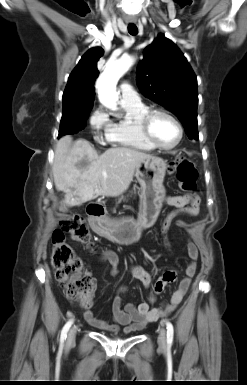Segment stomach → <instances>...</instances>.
<instances>
[{"label":"stomach","instance_id":"obj_1","mask_svg":"<svg viewBox=\"0 0 247 385\" xmlns=\"http://www.w3.org/2000/svg\"><path fill=\"white\" fill-rule=\"evenodd\" d=\"M166 162L159 157L150 156L142 160L135 169V177L140 184V205L137 220H107L103 235L122 245L137 242L143 229L151 227L157 220L165 197L163 180Z\"/></svg>","mask_w":247,"mask_h":385}]
</instances>
